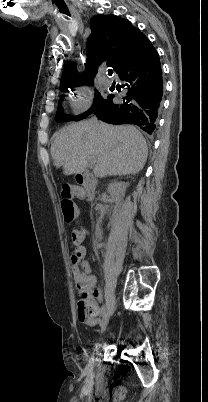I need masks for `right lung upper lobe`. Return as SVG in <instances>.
<instances>
[{"instance_id":"cb5924a9","label":"right lung upper lobe","mask_w":208,"mask_h":402,"mask_svg":"<svg viewBox=\"0 0 208 402\" xmlns=\"http://www.w3.org/2000/svg\"><path fill=\"white\" fill-rule=\"evenodd\" d=\"M90 27L85 74H79L73 62L68 63L62 73L61 90L92 82L103 62L117 73L120 60L142 34L129 20L115 15H96L91 19Z\"/></svg>"}]
</instances>
